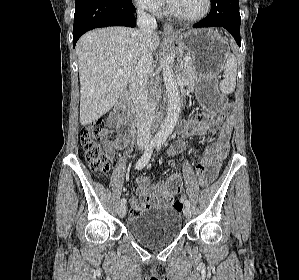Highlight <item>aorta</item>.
<instances>
[{
    "label": "aorta",
    "instance_id": "1",
    "mask_svg": "<svg viewBox=\"0 0 299 280\" xmlns=\"http://www.w3.org/2000/svg\"><path fill=\"white\" fill-rule=\"evenodd\" d=\"M163 71V81L166 87L167 97H168V109H167V117L161 126V129L156 134V138L159 140H166L167 137L173 131L176 122L178 120L180 114V93L179 87L172 70L171 66V57L165 56L164 60L161 62Z\"/></svg>",
    "mask_w": 299,
    "mask_h": 280
}]
</instances>
